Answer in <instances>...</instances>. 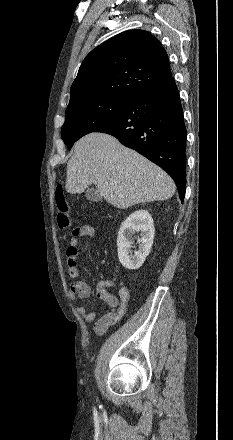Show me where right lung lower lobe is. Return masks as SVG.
<instances>
[{"label":"right lung lower lobe","instance_id":"right-lung-lower-lobe-1","mask_svg":"<svg viewBox=\"0 0 233 440\" xmlns=\"http://www.w3.org/2000/svg\"><path fill=\"white\" fill-rule=\"evenodd\" d=\"M116 137L163 168L183 202L186 188V127L173 77L132 96L118 116L97 129Z\"/></svg>","mask_w":233,"mask_h":440}]
</instances>
